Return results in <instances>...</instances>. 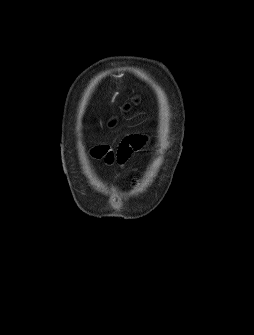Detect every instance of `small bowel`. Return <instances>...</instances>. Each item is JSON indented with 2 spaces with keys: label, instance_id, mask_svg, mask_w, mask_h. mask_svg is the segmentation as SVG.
Here are the masks:
<instances>
[{
  "label": "small bowel",
  "instance_id": "obj_1",
  "mask_svg": "<svg viewBox=\"0 0 254 335\" xmlns=\"http://www.w3.org/2000/svg\"><path fill=\"white\" fill-rule=\"evenodd\" d=\"M146 142V139L142 136H132L127 138L120 146L117 159L123 163L125 162L133 152V150H137L141 148ZM95 155L98 157H104L107 162H112L113 154L108 150L105 146H99L95 148Z\"/></svg>",
  "mask_w": 254,
  "mask_h": 335
}]
</instances>
